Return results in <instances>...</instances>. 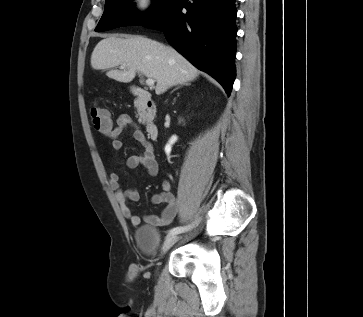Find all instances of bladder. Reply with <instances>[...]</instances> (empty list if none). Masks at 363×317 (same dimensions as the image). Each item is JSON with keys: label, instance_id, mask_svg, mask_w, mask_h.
<instances>
[{"label": "bladder", "instance_id": "bladder-1", "mask_svg": "<svg viewBox=\"0 0 363 317\" xmlns=\"http://www.w3.org/2000/svg\"><path fill=\"white\" fill-rule=\"evenodd\" d=\"M135 239L138 247L145 255L153 256L157 251L160 234L154 227L144 225L136 230Z\"/></svg>", "mask_w": 363, "mask_h": 317}]
</instances>
